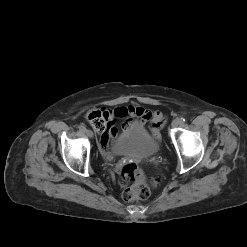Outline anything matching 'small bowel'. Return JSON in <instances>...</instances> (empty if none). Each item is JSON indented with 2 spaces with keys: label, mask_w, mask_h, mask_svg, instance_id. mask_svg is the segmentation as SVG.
I'll return each mask as SVG.
<instances>
[{
  "label": "small bowel",
  "mask_w": 247,
  "mask_h": 247,
  "mask_svg": "<svg viewBox=\"0 0 247 247\" xmlns=\"http://www.w3.org/2000/svg\"><path fill=\"white\" fill-rule=\"evenodd\" d=\"M104 112L108 117V128L107 131L103 133L101 148L107 159L110 158L106 153V146L109 139H114L117 136V122L119 120L130 118V121L123 125L124 130L134 126L142 127L146 123H149V129L157 139L160 138V130L165 123V115L161 111L149 110L135 105L120 106L114 110H104ZM121 167L120 164L115 166L117 170H120Z\"/></svg>",
  "instance_id": "small-bowel-1"
}]
</instances>
